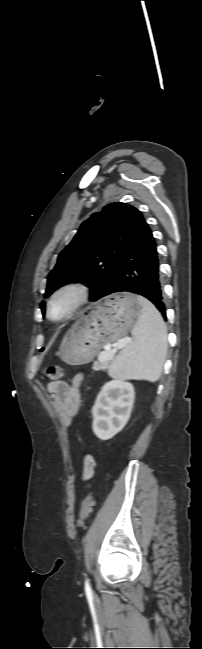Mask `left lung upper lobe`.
Wrapping results in <instances>:
<instances>
[{
    "label": "left lung upper lobe",
    "instance_id": "5c2ea615",
    "mask_svg": "<svg viewBox=\"0 0 202 649\" xmlns=\"http://www.w3.org/2000/svg\"><path fill=\"white\" fill-rule=\"evenodd\" d=\"M144 221L139 210L111 203L84 221L71 243L59 254L48 275L47 298L57 288L83 282L93 286L92 301L103 291L127 242ZM43 313L45 305L41 304Z\"/></svg>",
    "mask_w": 202,
    "mask_h": 649
}]
</instances>
